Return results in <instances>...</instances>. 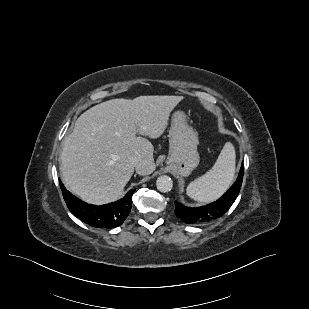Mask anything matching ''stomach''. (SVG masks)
<instances>
[{
	"label": "stomach",
	"instance_id": "obj_1",
	"mask_svg": "<svg viewBox=\"0 0 309 309\" xmlns=\"http://www.w3.org/2000/svg\"><path fill=\"white\" fill-rule=\"evenodd\" d=\"M168 136L167 163L175 166L180 175L188 176L199 164V140L197 132L189 126L188 117L183 111L173 113Z\"/></svg>",
	"mask_w": 309,
	"mask_h": 309
}]
</instances>
